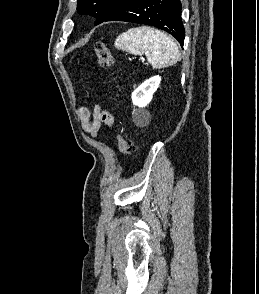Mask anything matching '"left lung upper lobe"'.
<instances>
[{
  "instance_id": "1",
  "label": "left lung upper lobe",
  "mask_w": 259,
  "mask_h": 294,
  "mask_svg": "<svg viewBox=\"0 0 259 294\" xmlns=\"http://www.w3.org/2000/svg\"><path fill=\"white\" fill-rule=\"evenodd\" d=\"M123 1L124 0H78L77 11L79 14L95 17V25H98Z\"/></svg>"
}]
</instances>
